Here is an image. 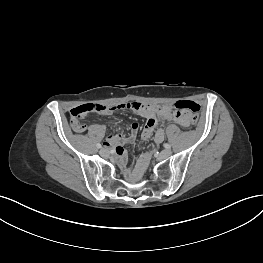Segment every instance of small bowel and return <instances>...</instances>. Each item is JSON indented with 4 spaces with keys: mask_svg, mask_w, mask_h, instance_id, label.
Here are the masks:
<instances>
[{
    "mask_svg": "<svg viewBox=\"0 0 263 263\" xmlns=\"http://www.w3.org/2000/svg\"><path fill=\"white\" fill-rule=\"evenodd\" d=\"M104 109L98 113L109 115L119 110H130L137 115L146 119L143 128L142 138L144 140L154 137L155 142L159 143L164 138L161 129H157L160 119H170L182 127H188L191 123L190 116L187 113L174 112L169 106H157L139 101L122 103L114 106L102 105ZM85 127V125H84ZM104 126L101 127L104 130ZM139 129V124L134 122L131 124V130L128 136L122 134H112L105 141V145L111 148L121 163H125V145L135 141ZM149 163V154H144L138 161L137 174L141 175L147 168Z\"/></svg>",
    "mask_w": 263,
    "mask_h": 263,
    "instance_id": "obj_1",
    "label": "small bowel"
}]
</instances>
